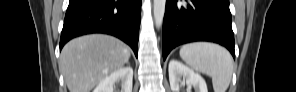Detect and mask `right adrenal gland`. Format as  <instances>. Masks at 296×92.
<instances>
[{
    "label": "right adrenal gland",
    "instance_id": "1",
    "mask_svg": "<svg viewBox=\"0 0 296 92\" xmlns=\"http://www.w3.org/2000/svg\"><path fill=\"white\" fill-rule=\"evenodd\" d=\"M127 65H128V66H130V63H129V62H127Z\"/></svg>",
    "mask_w": 296,
    "mask_h": 92
}]
</instances>
